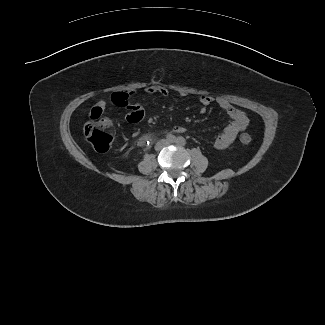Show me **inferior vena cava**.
Segmentation results:
<instances>
[{
  "label": "inferior vena cava",
  "mask_w": 325,
  "mask_h": 325,
  "mask_svg": "<svg viewBox=\"0 0 325 325\" xmlns=\"http://www.w3.org/2000/svg\"><path fill=\"white\" fill-rule=\"evenodd\" d=\"M168 143L165 140H162L160 142L157 143L156 145V150H160L162 149L164 146H166Z\"/></svg>",
  "instance_id": "1"
}]
</instances>
